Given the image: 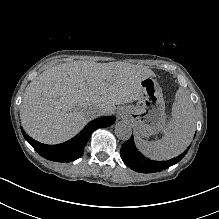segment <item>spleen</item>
Here are the masks:
<instances>
[{
	"label": "spleen",
	"mask_w": 219,
	"mask_h": 219,
	"mask_svg": "<svg viewBox=\"0 0 219 219\" xmlns=\"http://www.w3.org/2000/svg\"><path fill=\"white\" fill-rule=\"evenodd\" d=\"M195 108L187 90L179 88L172 106V119L161 140L145 141L136 137L138 149L152 160H169L190 144L195 132Z\"/></svg>",
	"instance_id": "3e777b00"
}]
</instances>
